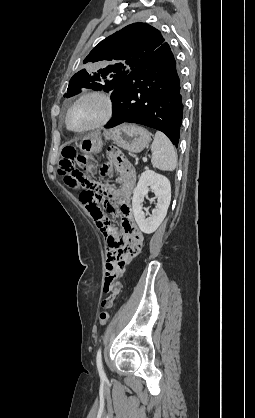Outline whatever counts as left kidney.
<instances>
[{
	"instance_id": "left-kidney-1",
	"label": "left kidney",
	"mask_w": 255,
	"mask_h": 418,
	"mask_svg": "<svg viewBox=\"0 0 255 418\" xmlns=\"http://www.w3.org/2000/svg\"><path fill=\"white\" fill-rule=\"evenodd\" d=\"M150 189L157 197L156 208L152 214L146 218L142 210L144 197ZM171 200L170 181L163 175L152 170L146 169L140 176L132 197V210L136 223L140 230L145 234H151L160 226L164 220Z\"/></svg>"
}]
</instances>
